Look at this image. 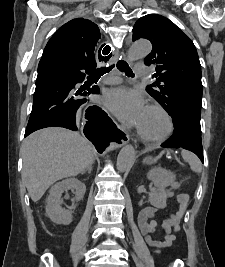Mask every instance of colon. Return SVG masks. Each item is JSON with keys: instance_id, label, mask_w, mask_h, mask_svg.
<instances>
[{"instance_id": "1", "label": "colon", "mask_w": 225, "mask_h": 267, "mask_svg": "<svg viewBox=\"0 0 225 267\" xmlns=\"http://www.w3.org/2000/svg\"><path fill=\"white\" fill-rule=\"evenodd\" d=\"M188 203V199L187 198H182L180 201V208L181 209H185Z\"/></svg>"}]
</instances>
